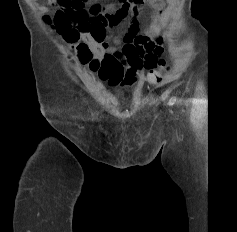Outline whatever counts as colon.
Here are the masks:
<instances>
[{"mask_svg": "<svg viewBox=\"0 0 237 232\" xmlns=\"http://www.w3.org/2000/svg\"><path fill=\"white\" fill-rule=\"evenodd\" d=\"M145 1L119 0L116 5L108 8L94 4L87 9L88 0H51L56 8L51 21L64 38H76L86 33L98 34L104 29L107 15L124 17L135 11ZM168 68L167 62L160 60L158 69L150 70L149 82L160 84L163 80L162 73Z\"/></svg>", "mask_w": 237, "mask_h": 232, "instance_id": "obj_1", "label": "colon"}]
</instances>
